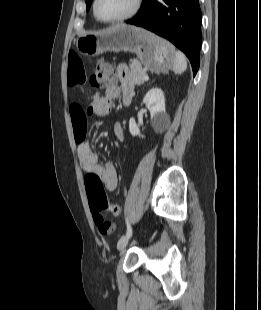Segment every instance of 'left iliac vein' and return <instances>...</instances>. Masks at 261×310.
Here are the masks:
<instances>
[{"mask_svg": "<svg viewBox=\"0 0 261 310\" xmlns=\"http://www.w3.org/2000/svg\"><path fill=\"white\" fill-rule=\"evenodd\" d=\"M131 236L130 237H127V235L125 236H122L119 241H118V244H117V249L119 251H122L128 244L129 240H130Z\"/></svg>", "mask_w": 261, "mask_h": 310, "instance_id": "4c4485c4", "label": "left iliac vein"}]
</instances>
